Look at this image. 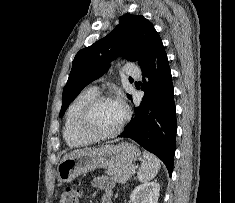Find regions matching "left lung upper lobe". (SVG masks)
I'll return each mask as SVG.
<instances>
[{
    "label": "left lung upper lobe",
    "instance_id": "5c2ea615",
    "mask_svg": "<svg viewBox=\"0 0 235 203\" xmlns=\"http://www.w3.org/2000/svg\"><path fill=\"white\" fill-rule=\"evenodd\" d=\"M160 39L152 23L143 16L123 15L111 33L80 50L75 56L68 81L63 89L59 116L64 114L69 104L86 85L108 70L112 60L122 56L133 61L138 60L142 66Z\"/></svg>",
    "mask_w": 235,
    "mask_h": 203
}]
</instances>
